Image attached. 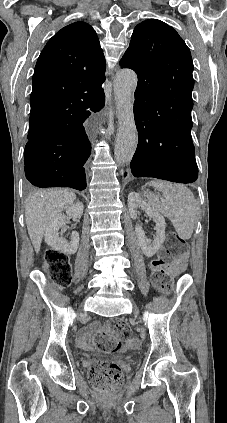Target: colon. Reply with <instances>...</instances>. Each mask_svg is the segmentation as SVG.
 <instances>
[{
	"mask_svg": "<svg viewBox=\"0 0 227 423\" xmlns=\"http://www.w3.org/2000/svg\"><path fill=\"white\" fill-rule=\"evenodd\" d=\"M185 250L184 241L174 232H170L156 259L151 262L152 282L161 291L170 286L168 265L181 258ZM45 270L50 275L56 288H62L71 282V265L66 254L54 249L45 254ZM130 335L128 325L122 320L100 329L96 340L99 351H116L120 348V339ZM90 381L103 391L117 387L122 381L121 368L114 362L103 361L93 364L89 370Z\"/></svg>",
	"mask_w": 227,
	"mask_h": 423,
	"instance_id": "1",
	"label": "colon"
}]
</instances>
